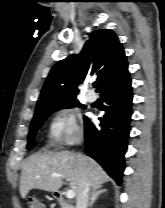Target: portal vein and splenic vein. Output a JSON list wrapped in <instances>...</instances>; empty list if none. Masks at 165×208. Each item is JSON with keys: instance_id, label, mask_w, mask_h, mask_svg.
I'll use <instances>...</instances> for the list:
<instances>
[{"instance_id": "1", "label": "portal vein and splenic vein", "mask_w": 165, "mask_h": 208, "mask_svg": "<svg viewBox=\"0 0 165 208\" xmlns=\"http://www.w3.org/2000/svg\"><path fill=\"white\" fill-rule=\"evenodd\" d=\"M54 177L65 178V176H62L61 174H54ZM66 197L68 199H73L75 197V192L72 189L67 190Z\"/></svg>"}]
</instances>
